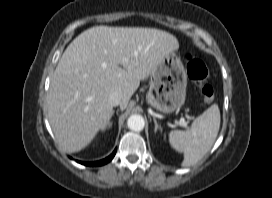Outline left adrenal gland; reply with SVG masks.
<instances>
[{
  "label": "left adrenal gland",
  "instance_id": "a2214340",
  "mask_svg": "<svg viewBox=\"0 0 272 198\" xmlns=\"http://www.w3.org/2000/svg\"><path fill=\"white\" fill-rule=\"evenodd\" d=\"M153 121H154V124H155L154 132L156 133L158 130H160V132H162V128H161V126L157 123V120H156L155 117H153Z\"/></svg>",
  "mask_w": 272,
  "mask_h": 198
}]
</instances>
